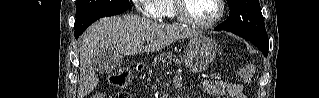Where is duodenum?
<instances>
[{"instance_id":"duodenum-1","label":"duodenum","mask_w":319,"mask_h":98,"mask_svg":"<svg viewBox=\"0 0 319 98\" xmlns=\"http://www.w3.org/2000/svg\"><path fill=\"white\" fill-rule=\"evenodd\" d=\"M144 66H145L144 63L138 64V65H137V71H138V72L142 71V70L144 69Z\"/></svg>"}]
</instances>
